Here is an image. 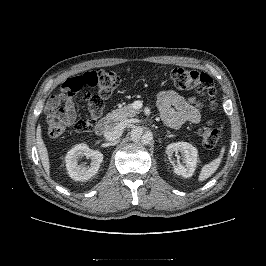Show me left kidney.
<instances>
[{
    "label": "left kidney",
    "instance_id": "1",
    "mask_svg": "<svg viewBox=\"0 0 266 266\" xmlns=\"http://www.w3.org/2000/svg\"><path fill=\"white\" fill-rule=\"evenodd\" d=\"M166 154L169 161L172 163L174 173L189 178L194 174L197 165L198 151L187 142L171 143L166 147ZM180 152L183 157V163L174 164L172 156L174 153Z\"/></svg>",
    "mask_w": 266,
    "mask_h": 266
}]
</instances>
